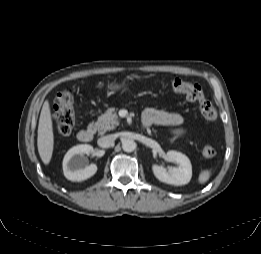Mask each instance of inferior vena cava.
Wrapping results in <instances>:
<instances>
[{
    "mask_svg": "<svg viewBox=\"0 0 261 254\" xmlns=\"http://www.w3.org/2000/svg\"><path fill=\"white\" fill-rule=\"evenodd\" d=\"M115 139H116V137L113 134L106 135V136L100 137L98 139L97 143L102 148H108L114 143Z\"/></svg>",
    "mask_w": 261,
    "mask_h": 254,
    "instance_id": "obj_1",
    "label": "inferior vena cava"
}]
</instances>
